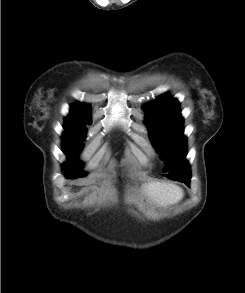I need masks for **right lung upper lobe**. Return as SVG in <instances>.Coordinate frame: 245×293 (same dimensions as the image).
<instances>
[{"instance_id": "obj_1", "label": "right lung upper lobe", "mask_w": 245, "mask_h": 293, "mask_svg": "<svg viewBox=\"0 0 245 293\" xmlns=\"http://www.w3.org/2000/svg\"><path fill=\"white\" fill-rule=\"evenodd\" d=\"M89 108L80 103L71 107V115L65 120V128H86L84 123L90 124Z\"/></svg>"}]
</instances>
